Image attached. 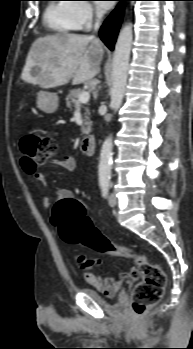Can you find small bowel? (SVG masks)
<instances>
[{"label":"small bowel","mask_w":193,"mask_h":349,"mask_svg":"<svg viewBox=\"0 0 193 349\" xmlns=\"http://www.w3.org/2000/svg\"><path fill=\"white\" fill-rule=\"evenodd\" d=\"M54 165L61 167L66 171H73L76 167V160L71 154H65L61 159H55L51 161ZM21 165L25 172L33 176L42 185H46L47 180L44 173L39 172L37 169H32L29 165L25 163V160L21 159ZM58 201L62 200H75L73 192L68 188H60L57 190ZM42 205L45 209H49L51 205V200L48 196L42 198ZM139 276L137 268L132 267L126 272H121L116 278H104L96 276L91 272H85V281L102 290L106 294H114L122 285L125 280H136Z\"/></svg>","instance_id":"obj_1"}]
</instances>
